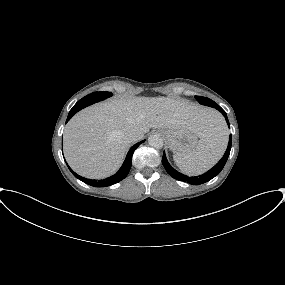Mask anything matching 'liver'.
<instances>
[{
    "mask_svg": "<svg viewBox=\"0 0 285 285\" xmlns=\"http://www.w3.org/2000/svg\"><path fill=\"white\" fill-rule=\"evenodd\" d=\"M222 117L214 110L186 100L166 97L114 98L78 112L64 129V155L78 174L102 179L121 166L129 143L126 132L141 138L150 128L189 130L210 135Z\"/></svg>",
    "mask_w": 285,
    "mask_h": 285,
    "instance_id": "6515ba94",
    "label": "liver"
}]
</instances>
